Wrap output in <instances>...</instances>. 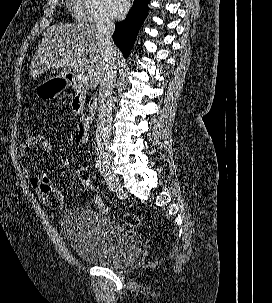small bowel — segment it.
<instances>
[{
  "instance_id": "obj_1",
  "label": "small bowel",
  "mask_w": 272,
  "mask_h": 303,
  "mask_svg": "<svg viewBox=\"0 0 272 303\" xmlns=\"http://www.w3.org/2000/svg\"><path fill=\"white\" fill-rule=\"evenodd\" d=\"M34 143L35 136L27 137L23 143L17 146V157L20 159L24 158L30 149L35 148ZM22 173L26 178L30 179L31 184L42 197L51 191H56L54 188L55 180L50 174L41 172L39 174L33 175L31 169L27 166L22 167Z\"/></svg>"
}]
</instances>
